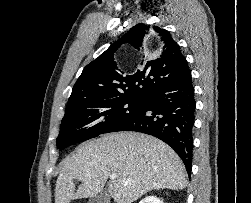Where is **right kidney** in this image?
Here are the masks:
<instances>
[{
  "mask_svg": "<svg viewBox=\"0 0 251 203\" xmlns=\"http://www.w3.org/2000/svg\"><path fill=\"white\" fill-rule=\"evenodd\" d=\"M139 203H163V201L156 196H147L143 198Z\"/></svg>",
  "mask_w": 251,
  "mask_h": 203,
  "instance_id": "1",
  "label": "right kidney"
}]
</instances>
